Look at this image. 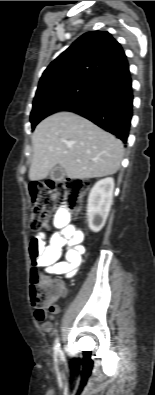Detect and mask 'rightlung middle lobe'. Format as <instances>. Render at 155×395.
<instances>
[{"label": "right lung middle lobe", "instance_id": "obj_1", "mask_svg": "<svg viewBox=\"0 0 155 395\" xmlns=\"http://www.w3.org/2000/svg\"><path fill=\"white\" fill-rule=\"evenodd\" d=\"M99 82L75 80L50 86L36 92L30 115L32 128L47 116L67 109L99 87Z\"/></svg>", "mask_w": 155, "mask_h": 395}]
</instances>
